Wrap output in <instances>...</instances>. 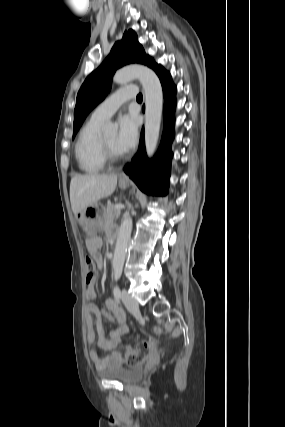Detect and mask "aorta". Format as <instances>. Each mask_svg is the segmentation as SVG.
Returning <instances> with one entry per match:
<instances>
[{
	"mask_svg": "<svg viewBox=\"0 0 285 427\" xmlns=\"http://www.w3.org/2000/svg\"><path fill=\"white\" fill-rule=\"evenodd\" d=\"M139 79L145 95V146L148 157H152L159 138L163 94L159 78L150 68L142 65H131L117 71L113 77V82L117 84H125L133 79ZM117 125L111 122L104 126L106 133H115ZM132 218L128 217L121 223L116 246L114 250V257L112 267L115 270H122L128 242L130 240L132 231Z\"/></svg>",
	"mask_w": 285,
	"mask_h": 427,
	"instance_id": "obj_1",
	"label": "aorta"
}]
</instances>
